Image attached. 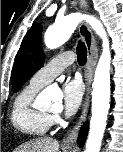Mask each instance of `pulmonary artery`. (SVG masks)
Wrapping results in <instances>:
<instances>
[{
	"label": "pulmonary artery",
	"mask_w": 123,
	"mask_h": 152,
	"mask_svg": "<svg viewBox=\"0 0 123 152\" xmlns=\"http://www.w3.org/2000/svg\"><path fill=\"white\" fill-rule=\"evenodd\" d=\"M74 59V54L71 51L56 55L31 77L29 85L34 88L44 87L53 81L66 67L71 65Z\"/></svg>",
	"instance_id": "pulmonary-artery-1"
}]
</instances>
